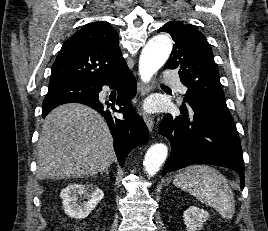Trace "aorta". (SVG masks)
<instances>
[{"instance_id":"762f6f07","label":"aorta","mask_w":268,"mask_h":231,"mask_svg":"<svg viewBox=\"0 0 268 231\" xmlns=\"http://www.w3.org/2000/svg\"><path fill=\"white\" fill-rule=\"evenodd\" d=\"M172 41L167 35H157L151 38L143 48L139 59V75L144 83L165 64L172 51ZM168 148L163 143L152 145L143 162L146 173L154 176L166 160Z\"/></svg>"}]
</instances>
